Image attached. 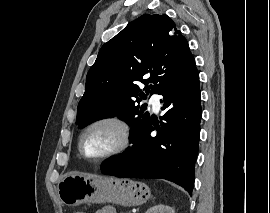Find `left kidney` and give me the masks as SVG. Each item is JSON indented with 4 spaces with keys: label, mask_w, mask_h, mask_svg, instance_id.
<instances>
[{
    "label": "left kidney",
    "mask_w": 270,
    "mask_h": 213,
    "mask_svg": "<svg viewBox=\"0 0 270 213\" xmlns=\"http://www.w3.org/2000/svg\"><path fill=\"white\" fill-rule=\"evenodd\" d=\"M145 213H175V211L168 205L158 204L148 209Z\"/></svg>",
    "instance_id": "left-kidney-1"
}]
</instances>
